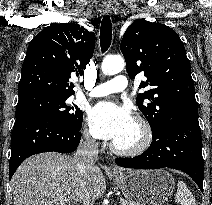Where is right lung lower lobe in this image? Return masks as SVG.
<instances>
[{
  "mask_svg": "<svg viewBox=\"0 0 212 205\" xmlns=\"http://www.w3.org/2000/svg\"><path fill=\"white\" fill-rule=\"evenodd\" d=\"M80 129L42 114L16 118L12 133L9 180L19 165L31 155L51 151L74 152L80 143Z\"/></svg>",
  "mask_w": 212,
  "mask_h": 205,
  "instance_id": "right-lung-lower-lobe-1",
  "label": "right lung lower lobe"
}]
</instances>
